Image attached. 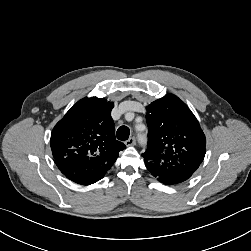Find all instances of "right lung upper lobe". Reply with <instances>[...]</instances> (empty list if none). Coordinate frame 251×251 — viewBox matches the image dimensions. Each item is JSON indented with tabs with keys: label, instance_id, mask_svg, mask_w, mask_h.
Returning <instances> with one entry per match:
<instances>
[{
	"label": "right lung upper lobe",
	"instance_id": "1",
	"mask_svg": "<svg viewBox=\"0 0 251 251\" xmlns=\"http://www.w3.org/2000/svg\"><path fill=\"white\" fill-rule=\"evenodd\" d=\"M113 102L97 97L78 101L55 125L50 145L60 171L78 184L102 179L126 146L116 140Z\"/></svg>",
	"mask_w": 251,
	"mask_h": 251
}]
</instances>
